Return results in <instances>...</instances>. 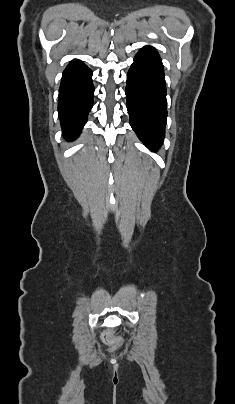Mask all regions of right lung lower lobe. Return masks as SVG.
Wrapping results in <instances>:
<instances>
[{"label":"right lung lower lobe","instance_id":"1","mask_svg":"<svg viewBox=\"0 0 235 404\" xmlns=\"http://www.w3.org/2000/svg\"><path fill=\"white\" fill-rule=\"evenodd\" d=\"M92 71L73 60L64 70L58 97V113L63 135L74 140L87 121L93 105Z\"/></svg>","mask_w":235,"mask_h":404}]
</instances>
